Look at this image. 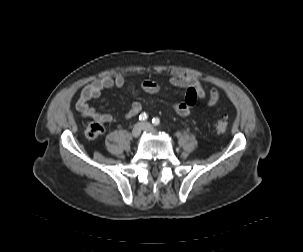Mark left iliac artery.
Here are the masks:
<instances>
[{
    "label": "left iliac artery",
    "instance_id": "1",
    "mask_svg": "<svg viewBox=\"0 0 303 252\" xmlns=\"http://www.w3.org/2000/svg\"><path fill=\"white\" fill-rule=\"evenodd\" d=\"M152 123L155 126H158L160 124V119L158 117H155L152 119Z\"/></svg>",
    "mask_w": 303,
    "mask_h": 252
}]
</instances>
